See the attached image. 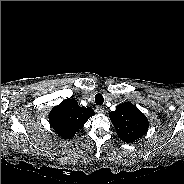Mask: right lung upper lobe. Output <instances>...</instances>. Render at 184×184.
<instances>
[{
	"label": "right lung upper lobe",
	"instance_id": "obj_1",
	"mask_svg": "<svg viewBox=\"0 0 184 184\" xmlns=\"http://www.w3.org/2000/svg\"><path fill=\"white\" fill-rule=\"evenodd\" d=\"M94 114L92 108L79 107L78 102L70 97L51 110L49 122L59 136L71 139Z\"/></svg>",
	"mask_w": 184,
	"mask_h": 184
}]
</instances>
